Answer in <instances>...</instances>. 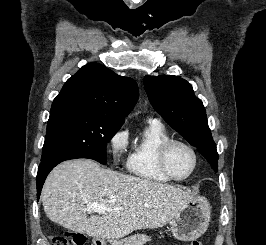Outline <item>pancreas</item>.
Masks as SVG:
<instances>
[{"mask_svg": "<svg viewBox=\"0 0 266 245\" xmlns=\"http://www.w3.org/2000/svg\"><path fill=\"white\" fill-rule=\"evenodd\" d=\"M148 241H152V239L147 237V235H132V237H127V239L117 241L115 245H145Z\"/></svg>", "mask_w": 266, "mask_h": 245, "instance_id": "cf45deb5", "label": "pancreas"}]
</instances>
